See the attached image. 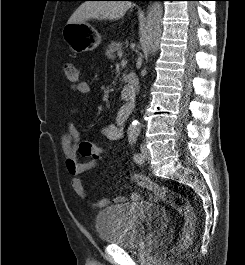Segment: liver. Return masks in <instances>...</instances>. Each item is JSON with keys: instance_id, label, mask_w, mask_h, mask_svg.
<instances>
[{"instance_id": "6515ba94", "label": "liver", "mask_w": 245, "mask_h": 265, "mask_svg": "<svg viewBox=\"0 0 245 265\" xmlns=\"http://www.w3.org/2000/svg\"><path fill=\"white\" fill-rule=\"evenodd\" d=\"M128 1H86L71 15L68 24L85 23L88 20H118L131 8Z\"/></svg>"}]
</instances>
